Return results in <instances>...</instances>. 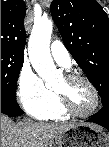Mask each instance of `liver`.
Returning <instances> with one entry per match:
<instances>
[{
  "instance_id": "obj_1",
  "label": "liver",
  "mask_w": 109,
  "mask_h": 147,
  "mask_svg": "<svg viewBox=\"0 0 109 147\" xmlns=\"http://www.w3.org/2000/svg\"><path fill=\"white\" fill-rule=\"evenodd\" d=\"M82 125L101 128L92 123H83ZM73 126H77V124H49L44 122L13 124L9 117L2 115L1 147H48L49 142L56 139L57 135Z\"/></svg>"
}]
</instances>
